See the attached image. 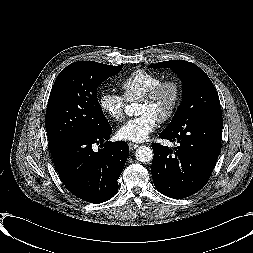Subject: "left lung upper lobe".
I'll use <instances>...</instances> for the list:
<instances>
[{
  "label": "left lung upper lobe",
  "mask_w": 253,
  "mask_h": 253,
  "mask_svg": "<svg viewBox=\"0 0 253 253\" xmlns=\"http://www.w3.org/2000/svg\"><path fill=\"white\" fill-rule=\"evenodd\" d=\"M151 67L170 68L183 82V101L164 131H175L190 121L222 119L218 93L207 74L197 65L184 60H171L152 64Z\"/></svg>",
  "instance_id": "5c2ea615"
}]
</instances>
